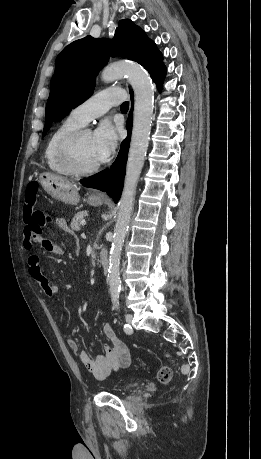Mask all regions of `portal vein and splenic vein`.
I'll return each instance as SVG.
<instances>
[{
  "label": "portal vein and splenic vein",
  "mask_w": 261,
  "mask_h": 459,
  "mask_svg": "<svg viewBox=\"0 0 261 459\" xmlns=\"http://www.w3.org/2000/svg\"><path fill=\"white\" fill-rule=\"evenodd\" d=\"M81 224H82V225H85L86 223H85V221H82Z\"/></svg>",
  "instance_id": "18ae733b"
}]
</instances>
